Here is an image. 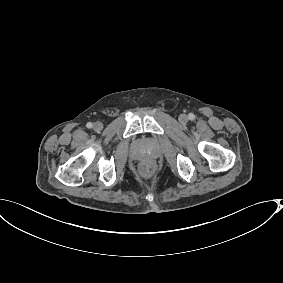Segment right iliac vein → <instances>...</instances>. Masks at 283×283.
I'll return each instance as SVG.
<instances>
[{
  "instance_id": "right-iliac-vein-1",
  "label": "right iliac vein",
  "mask_w": 283,
  "mask_h": 283,
  "mask_svg": "<svg viewBox=\"0 0 283 283\" xmlns=\"http://www.w3.org/2000/svg\"><path fill=\"white\" fill-rule=\"evenodd\" d=\"M103 128V124L101 123V122H99V121H97V122H95L94 124H93V129L95 130V131H99V130H101Z\"/></svg>"
}]
</instances>
